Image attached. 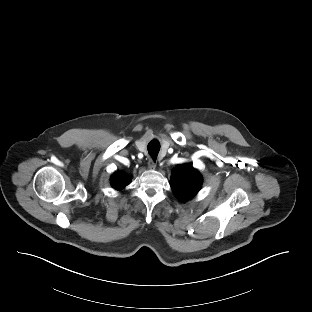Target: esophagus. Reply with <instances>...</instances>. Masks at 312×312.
Instances as JSON below:
<instances>
[{
	"label": "esophagus",
	"instance_id": "34e87169",
	"mask_svg": "<svg viewBox=\"0 0 312 312\" xmlns=\"http://www.w3.org/2000/svg\"><path fill=\"white\" fill-rule=\"evenodd\" d=\"M148 168L150 169V170H154L155 168H156V162L154 161V160H149V162H148Z\"/></svg>",
	"mask_w": 312,
	"mask_h": 312
}]
</instances>
